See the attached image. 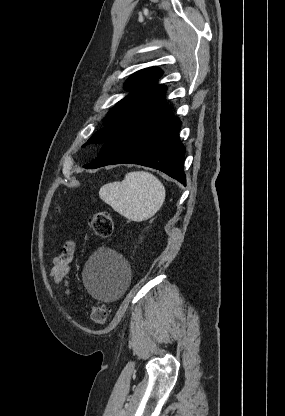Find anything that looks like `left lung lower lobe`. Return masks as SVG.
<instances>
[{
    "mask_svg": "<svg viewBox=\"0 0 285 416\" xmlns=\"http://www.w3.org/2000/svg\"><path fill=\"white\" fill-rule=\"evenodd\" d=\"M181 122L165 106L142 116L113 134L87 169L133 163L158 169L185 184V147L179 140Z\"/></svg>",
    "mask_w": 285,
    "mask_h": 416,
    "instance_id": "left-lung-lower-lobe-1",
    "label": "left lung lower lobe"
}]
</instances>
